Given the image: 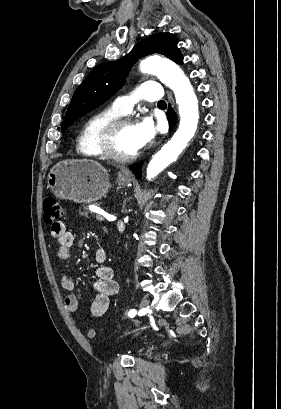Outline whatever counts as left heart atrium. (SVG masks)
Segmentation results:
<instances>
[{
    "label": "left heart atrium",
    "instance_id": "left-heart-atrium-1",
    "mask_svg": "<svg viewBox=\"0 0 281 409\" xmlns=\"http://www.w3.org/2000/svg\"><path fill=\"white\" fill-rule=\"evenodd\" d=\"M135 128L140 148L149 144L158 131L153 121L149 118H144L141 122L135 125Z\"/></svg>",
    "mask_w": 281,
    "mask_h": 409
}]
</instances>
